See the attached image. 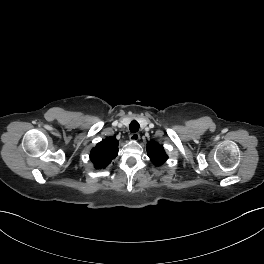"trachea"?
I'll return each mask as SVG.
<instances>
[{
    "label": "trachea",
    "mask_w": 264,
    "mask_h": 264,
    "mask_svg": "<svg viewBox=\"0 0 264 264\" xmlns=\"http://www.w3.org/2000/svg\"><path fill=\"white\" fill-rule=\"evenodd\" d=\"M139 123L137 121H132L129 125V129L132 133H136L139 130Z\"/></svg>",
    "instance_id": "trachea-1"
}]
</instances>
